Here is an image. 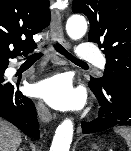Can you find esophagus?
<instances>
[{
    "instance_id": "obj_1",
    "label": "esophagus",
    "mask_w": 131,
    "mask_h": 151,
    "mask_svg": "<svg viewBox=\"0 0 131 151\" xmlns=\"http://www.w3.org/2000/svg\"><path fill=\"white\" fill-rule=\"evenodd\" d=\"M61 18L62 16L60 11L55 10L54 18L51 23V35L55 41H58L62 45H66ZM36 108L38 116L42 122L48 123L52 120V114L49 108L42 101L37 102Z\"/></svg>"
}]
</instances>
